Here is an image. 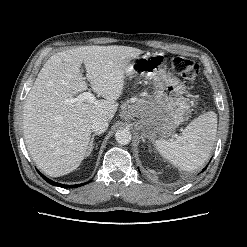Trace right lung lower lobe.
Wrapping results in <instances>:
<instances>
[{"mask_svg": "<svg viewBox=\"0 0 247 247\" xmlns=\"http://www.w3.org/2000/svg\"><path fill=\"white\" fill-rule=\"evenodd\" d=\"M38 173L41 175V177L45 180V181H47L48 183H50V184H52V185H54V186H58V187H62V188H75V187H79V186H82V185H85V184H87V183H82V184H78V185H64V184H60V183H57V182H54V181H52V180H50V179H48L47 177H45L43 174H41L39 171H38Z\"/></svg>", "mask_w": 247, "mask_h": 247, "instance_id": "obj_1", "label": "right lung lower lobe"}]
</instances>
